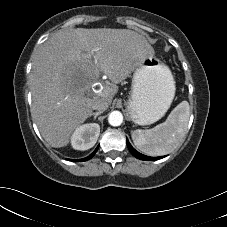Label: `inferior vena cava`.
Here are the masks:
<instances>
[{
  "label": "inferior vena cava",
  "mask_w": 227,
  "mask_h": 227,
  "mask_svg": "<svg viewBox=\"0 0 227 227\" xmlns=\"http://www.w3.org/2000/svg\"><path fill=\"white\" fill-rule=\"evenodd\" d=\"M92 108L94 110H98V111H105L107 108H108V103L107 102H104V101H98L96 102Z\"/></svg>",
  "instance_id": "1"
}]
</instances>
